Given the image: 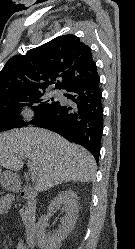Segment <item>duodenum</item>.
Masks as SVG:
<instances>
[{"label": "duodenum", "mask_w": 135, "mask_h": 249, "mask_svg": "<svg viewBox=\"0 0 135 249\" xmlns=\"http://www.w3.org/2000/svg\"><path fill=\"white\" fill-rule=\"evenodd\" d=\"M20 195L23 199H25L27 201V203L29 204V206L31 208L34 207L35 202H36V192L32 187H27V186L22 187L21 191H20ZM34 216H35V213L31 212L30 216H29V220L27 222V225L29 227L28 235L30 238L32 237V228L34 225V221H33ZM32 242H33V240H32Z\"/></svg>", "instance_id": "410a0bca"}]
</instances>
